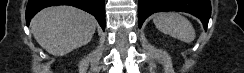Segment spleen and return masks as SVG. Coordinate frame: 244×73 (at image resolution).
<instances>
[{"instance_id":"1","label":"spleen","mask_w":244,"mask_h":73,"mask_svg":"<svg viewBox=\"0 0 244 73\" xmlns=\"http://www.w3.org/2000/svg\"><path fill=\"white\" fill-rule=\"evenodd\" d=\"M153 23L161 32L185 43L195 39V30L188 19L176 12L159 13Z\"/></svg>"}]
</instances>
